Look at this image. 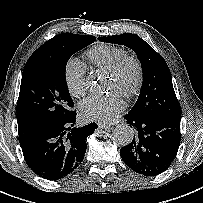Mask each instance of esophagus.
Returning a JSON list of instances; mask_svg holds the SVG:
<instances>
[{
  "mask_svg": "<svg viewBox=\"0 0 203 203\" xmlns=\"http://www.w3.org/2000/svg\"><path fill=\"white\" fill-rule=\"evenodd\" d=\"M98 127L101 128V129H108V128H111L113 127L112 124H108V123H98Z\"/></svg>",
  "mask_w": 203,
  "mask_h": 203,
  "instance_id": "obj_1",
  "label": "esophagus"
}]
</instances>
